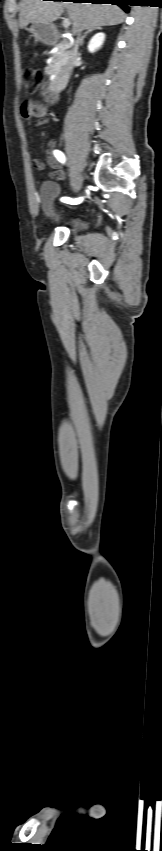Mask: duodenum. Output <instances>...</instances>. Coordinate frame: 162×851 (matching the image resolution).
I'll return each instance as SVG.
<instances>
[{
	"label": "duodenum",
	"mask_w": 162,
	"mask_h": 851,
	"mask_svg": "<svg viewBox=\"0 0 162 851\" xmlns=\"http://www.w3.org/2000/svg\"><path fill=\"white\" fill-rule=\"evenodd\" d=\"M69 72L65 71L61 77H57L54 80L49 82V87L52 89V95H55L57 91H61L63 86H66L70 81Z\"/></svg>",
	"instance_id": "410a0bca"
}]
</instances>
